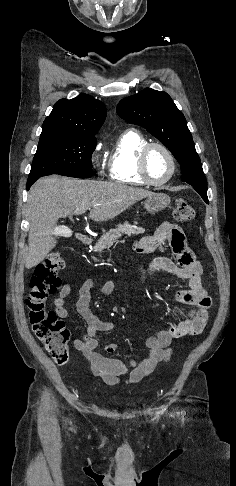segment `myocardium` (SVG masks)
Instances as JSON below:
<instances>
[{
    "mask_svg": "<svg viewBox=\"0 0 236 486\" xmlns=\"http://www.w3.org/2000/svg\"><path fill=\"white\" fill-rule=\"evenodd\" d=\"M152 148L161 149L168 156V158L170 160V164H171V170H170L168 176L166 178H164L163 180H160V181L153 180L149 176L148 171H147V156H148V153L150 152V150ZM137 166H138V173H139L140 177L142 178V180L146 184L151 185V186H162V185L168 183L173 178V176L175 175L177 163H176V159H175L174 154L172 153V151L167 146H165L164 144L159 143V142H148L140 149V151L138 153Z\"/></svg>",
    "mask_w": 236,
    "mask_h": 486,
    "instance_id": "f54148a6",
    "label": "myocardium"
}]
</instances>
